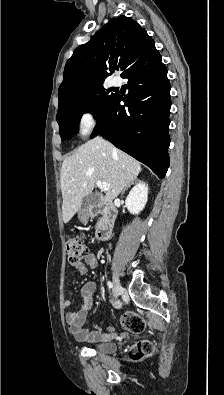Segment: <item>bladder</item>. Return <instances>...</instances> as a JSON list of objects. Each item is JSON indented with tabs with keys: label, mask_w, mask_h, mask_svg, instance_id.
Segmentation results:
<instances>
[{
	"label": "bladder",
	"mask_w": 224,
	"mask_h": 395,
	"mask_svg": "<svg viewBox=\"0 0 224 395\" xmlns=\"http://www.w3.org/2000/svg\"><path fill=\"white\" fill-rule=\"evenodd\" d=\"M91 348L97 352L109 354L115 352L116 345L113 343L100 342L93 344Z\"/></svg>",
	"instance_id": "31cf9c89"
}]
</instances>
